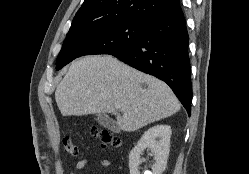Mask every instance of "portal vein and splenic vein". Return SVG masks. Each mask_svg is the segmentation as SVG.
Listing matches in <instances>:
<instances>
[{"mask_svg":"<svg viewBox=\"0 0 249 174\" xmlns=\"http://www.w3.org/2000/svg\"><path fill=\"white\" fill-rule=\"evenodd\" d=\"M115 108H116V109H119V108H120V105H119V104H116V105H115Z\"/></svg>","mask_w":249,"mask_h":174,"instance_id":"portal-vein-and-splenic-vein-1","label":"portal vein and splenic vein"}]
</instances>
